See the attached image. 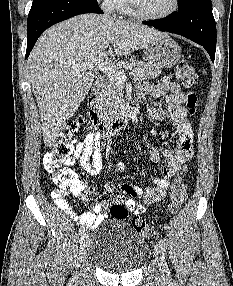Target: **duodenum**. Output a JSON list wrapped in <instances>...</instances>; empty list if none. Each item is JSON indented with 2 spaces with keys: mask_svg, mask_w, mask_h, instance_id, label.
<instances>
[{
  "mask_svg": "<svg viewBox=\"0 0 233 286\" xmlns=\"http://www.w3.org/2000/svg\"><path fill=\"white\" fill-rule=\"evenodd\" d=\"M104 81L98 80L88 97V118L92 128L102 131L109 136L123 130L131 119L130 110H123L113 118H105L99 110V94Z\"/></svg>",
  "mask_w": 233,
  "mask_h": 286,
  "instance_id": "1",
  "label": "duodenum"
}]
</instances>
